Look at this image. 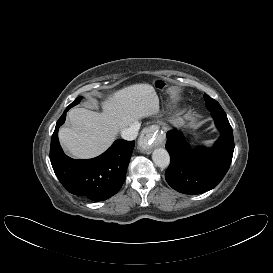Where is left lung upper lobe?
I'll return each mask as SVG.
<instances>
[{"mask_svg": "<svg viewBox=\"0 0 273 273\" xmlns=\"http://www.w3.org/2000/svg\"><path fill=\"white\" fill-rule=\"evenodd\" d=\"M204 99L206 102V107L212 112V114H225L224 110L216 100L212 99L206 94H204Z\"/></svg>", "mask_w": 273, "mask_h": 273, "instance_id": "obj_1", "label": "left lung upper lobe"}]
</instances>
